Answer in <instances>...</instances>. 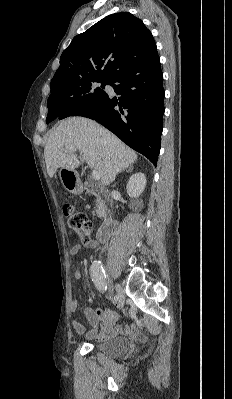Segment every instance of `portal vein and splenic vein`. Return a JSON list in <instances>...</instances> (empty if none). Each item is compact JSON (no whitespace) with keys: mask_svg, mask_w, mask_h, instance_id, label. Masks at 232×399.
I'll use <instances>...</instances> for the list:
<instances>
[{"mask_svg":"<svg viewBox=\"0 0 232 399\" xmlns=\"http://www.w3.org/2000/svg\"><path fill=\"white\" fill-rule=\"evenodd\" d=\"M64 152H77V150H75V148H70V146H66ZM92 178L93 180H100V176L96 170H93Z\"/></svg>","mask_w":232,"mask_h":399,"instance_id":"portal-vein-and-splenic-vein-1","label":"portal vein and splenic vein"}]
</instances>
